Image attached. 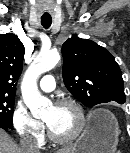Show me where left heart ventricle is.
<instances>
[{"instance_id": "b2bd125f", "label": "left heart ventricle", "mask_w": 130, "mask_h": 153, "mask_svg": "<svg viewBox=\"0 0 130 153\" xmlns=\"http://www.w3.org/2000/svg\"><path fill=\"white\" fill-rule=\"evenodd\" d=\"M44 121L57 135L69 136L77 127L78 116L71 106H50L45 113Z\"/></svg>"}]
</instances>
